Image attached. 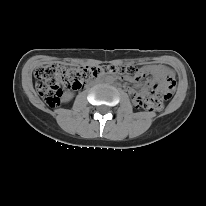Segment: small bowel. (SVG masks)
<instances>
[{
  "instance_id": "obj_1",
  "label": "small bowel",
  "mask_w": 206,
  "mask_h": 206,
  "mask_svg": "<svg viewBox=\"0 0 206 206\" xmlns=\"http://www.w3.org/2000/svg\"><path fill=\"white\" fill-rule=\"evenodd\" d=\"M149 72L153 75L154 79L159 82H163L166 78L173 76L172 71L163 66H151ZM126 79L128 81H134L131 77H126ZM130 94L133 98L139 95L134 89L130 90Z\"/></svg>"
}]
</instances>
